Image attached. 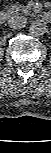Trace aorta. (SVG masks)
I'll use <instances>...</instances> for the list:
<instances>
[{
  "label": "aorta",
  "instance_id": "1",
  "mask_svg": "<svg viewBox=\"0 0 51 153\" xmlns=\"http://www.w3.org/2000/svg\"><path fill=\"white\" fill-rule=\"evenodd\" d=\"M47 31V23L41 19L35 20L29 27V32L33 36L43 35Z\"/></svg>",
  "mask_w": 51,
  "mask_h": 153
}]
</instances>
